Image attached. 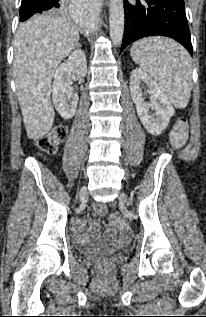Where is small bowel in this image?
Instances as JSON below:
<instances>
[{
    "instance_id": "1",
    "label": "small bowel",
    "mask_w": 206,
    "mask_h": 317,
    "mask_svg": "<svg viewBox=\"0 0 206 317\" xmlns=\"http://www.w3.org/2000/svg\"><path fill=\"white\" fill-rule=\"evenodd\" d=\"M86 222L89 224V228L86 229ZM99 228V224L94 219L88 220H77L74 223V235L80 243L86 242L90 237L94 236L96 231ZM114 233L112 231L109 232V236L112 237ZM130 238L129 231H124L121 237L122 241H127Z\"/></svg>"
}]
</instances>
